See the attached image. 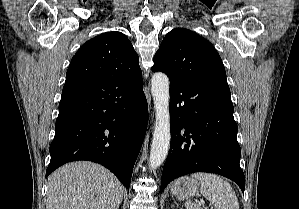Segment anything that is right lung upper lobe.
<instances>
[{
  "mask_svg": "<svg viewBox=\"0 0 299 209\" xmlns=\"http://www.w3.org/2000/svg\"><path fill=\"white\" fill-rule=\"evenodd\" d=\"M139 58L128 38L117 31L87 42L73 56L65 83L117 76L129 83L142 79Z\"/></svg>",
  "mask_w": 299,
  "mask_h": 209,
  "instance_id": "right-lung-upper-lobe-1",
  "label": "right lung upper lobe"
}]
</instances>
